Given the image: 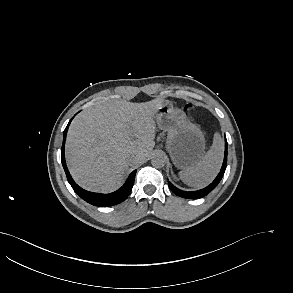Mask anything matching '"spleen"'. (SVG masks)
Masks as SVG:
<instances>
[{"label":"spleen","instance_id":"1","mask_svg":"<svg viewBox=\"0 0 293 293\" xmlns=\"http://www.w3.org/2000/svg\"><path fill=\"white\" fill-rule=\"evenodd\" d=\"M223 151V140L218 133H215L213 144L207 153L195 165L180 171V179L191 187L201 188L206 186L220 170Z\"/></svg>","mask_w":293,"mask_h":293}]
</instances>
